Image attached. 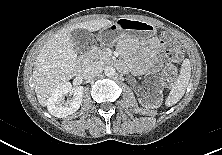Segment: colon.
<instances>
[{"mask_svg": "<svg viewBox=\"0 0 222 155\" xmlns=\"http://www.w3.org/2000/svg\"><path fill=\"white\" fill-rule=\"evenodd\" d=\"M162 53L167 60H176L180 57L181 52L173 37L167 33L161 36ZM178 70L172 64H167L162 70L163 82L171 87L176 83Z\"/></svg>", "mask_w": 222, "mask_h": 155, "instance_id": "1", "label": "colon"}]
</instances>
